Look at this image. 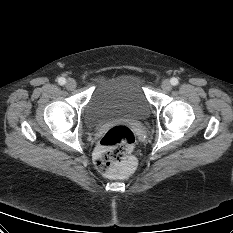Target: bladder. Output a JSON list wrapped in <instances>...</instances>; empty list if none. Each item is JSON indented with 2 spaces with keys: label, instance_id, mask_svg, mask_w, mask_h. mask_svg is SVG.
I'll return each mask as SVG.
<instances>
[{
  "label": "bladder",
  "instance_id": "obj_1",
  "mask_svg": "<svg viewBox=\"0 0 233 233\" xmlns=\"http://www.w3.org/2000/svg\"><path fill=\"white\" fill-rule=\"evenodd\" d=\"M146 80L138 72L100 76L84 107V120L97 127L113 119L144 120L151 112Z\"/></svg>",
  "mask_w": 233,
  "mask_h": 233
}]
</instances>
